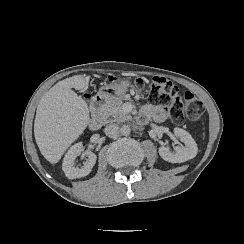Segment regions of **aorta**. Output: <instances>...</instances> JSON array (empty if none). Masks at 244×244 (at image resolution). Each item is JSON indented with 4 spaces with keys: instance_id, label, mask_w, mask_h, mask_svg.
I'll use <instances>...</instances> for the list:
<instances>
[{
    "instance_id": "aorta-1",
    "label": "aorta",
    "mask_w": 244,
    "mask_h": 244,
    "mask_svg": "<svg viewBox=\"0 0 244 244\" xmlns=\"http://www.w3.org/2000/svg\"><path fill=\"white\" fill-rule=\"evenodd\" d=\"M120 133L123 135V136H127L131 133V128L129 125H123L121 128H120Z\"/></svg>"
}]
</instances>
